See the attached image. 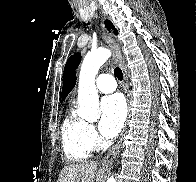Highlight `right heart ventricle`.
<instances>
[{"label":"right heart ventricle","instance_id":"e07e8e85","mask_svg":"<svg viewBox=\"0 0 196 182\" xmlns=\"http://www.w3.org/2000/svg\"><path fill=\"white\" fill-rule=\"evenodd\" d=\"M61 141L65 156L73 162L87 159L92 146L87 137V123L72 110L65 116L61 126Z\"/></svg>","mask_w":196,"mask_h":182}]
</instances>
